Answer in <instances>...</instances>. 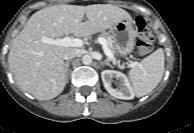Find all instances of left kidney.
<instances>
[{"instance_id": "1", "label": "left kidney", "mask_w": 194, "mask_h": 133, "mask_svg": "<svg viewBox=\"0 0 194 133\" xmlns=\"http://www.w3.org/2000/svg\"><path fill=\"white\" fill-rule=\"evenodd\" d=\"M101 77L104 87L110 95L123 100L134 98L133 89L125 74L115 70H104L101 73ZM113 78L118 80L117 88L112 87Z\"/></svg>"}]
</instances>
